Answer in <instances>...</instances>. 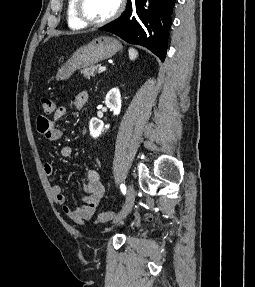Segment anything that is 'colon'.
I'll return each instance as SVG.
<instances>
[{
    "label": "colon",
    "instance_id": "obj_1",
    "mask_svg": "<svg viewBox=\"0 0 255 287\" xmlns=\"http://www.w3.org/2000/svg\"><path fill=\"white\" fill-rule=\"evenodd\" d=\"M41 105H42L43 112L46 115L53 114L56 108L55 103L49 98H42ZM114 216H115V213L112 211L101 212L98 215V220L100 222H106V221L111 220Z\"/></svg>",
    "mask_w": 255,
    "mask_h": 287
}]
</instances>
